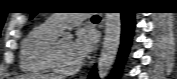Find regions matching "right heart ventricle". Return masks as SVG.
Segmentation results:
<instances>
[{
	"instance_id": "obj_1",
	"label": "right heart ventricle",
	"mask_w": 177,
	"mask_h": 79,
	"mask_svg": "<svg viewBox=\"0 0 177 79\" xmlns=\"http://www.w3.org/2000/svg\"><path fill=\"white\" fill-rule=\"evenodd\" d=\"M60 30L47 21L35 26L25 38L20 54V66L24 72L35 75L55 73L49 62V51Z\"/></svg>"
}]
</instances>
